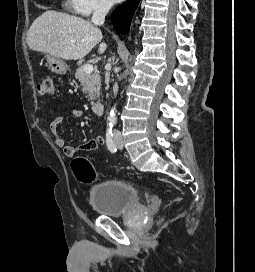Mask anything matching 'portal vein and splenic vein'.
I'll return each mask as SVG.
<instances>
[{
    "instance_id": "1",
    "label": "portal vein and splenic vein",
    "mask_w": 255,
    "mask_h": 272,
    "mask_svg": "<svg viewBox=\"0 0 255 272\" xmlns=\"http://www.w3.org/2000/svg\"><path fill=\"white\" fill-rule=\"evenodd\" d=\"M84 71H85L86 73H91V72H93V66H92L91 64H86V65H84Z\"/></svg>"
}]
</instances>
